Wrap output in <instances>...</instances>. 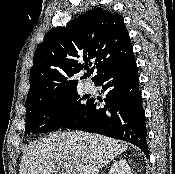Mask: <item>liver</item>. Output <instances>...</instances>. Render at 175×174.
<instances>
[{"instance_id": "1", "label": "liver", "mask_w": 175, "mask_h": 174, "mask_svg": "<svg viewBox=\"0 0 175 174\" xmlns=\"http://www.w3.org/2000/svg\"><path fill=\"white\" fill-rule=\"evenodd\" d=\"M127 148V143L103 135L79 131L53 133L24 151L19 174H76L78 167L73 158L85 166L87 174H98Z\"/></svg>"}]
</instances>
